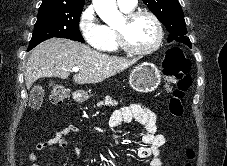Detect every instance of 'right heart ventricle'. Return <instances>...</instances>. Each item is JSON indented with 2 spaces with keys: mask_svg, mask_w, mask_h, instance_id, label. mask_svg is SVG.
<instances>
[{
  "mask_svg": "<svg viewBox=\"0 0 227 166\" xmlns=\"http://www.w3.org/2000/svg\"><path fill=\"white\" fill-rule=\"evenodd\" d=\"M120 10L122 12H129L131 10H126L123 9L121 7H119ZM105 26V31L107 34V41H106V46H105V50L106 51H114L116 49H118V44H117V40H116V35H115V28L109 26V25H104Z\"/></svg>",
  "mask_w": 227,
  "mask_h": 166,
  "instance_id": "e07e8e85",
  "label": "right heart ventricle"
}]
</instances>
